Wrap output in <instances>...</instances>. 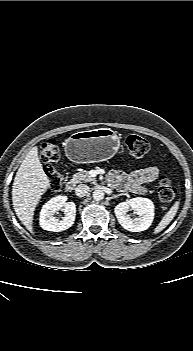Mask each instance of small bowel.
Returning a JSON list of instances; mask_svg holds the SVG:
<instances>
[{
  "instance_id": "small-bowel-1",
  "label": "small bowel",
  "mask_w": 193,
  "mask_h": 351,
  "mask_svg": "<svg viewBox=\"0 0 193 351\" xmlns=\"http://www.w3.org/2000/svg\"><path fill=\"white\" fill-rule=\"evenodd\" d=\"M159 169L152 165L132 173L112 172L110 178L113 186L135 193H144L145 186L157 179Z\"/></svg>"
}]
</instances>
